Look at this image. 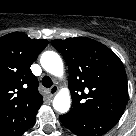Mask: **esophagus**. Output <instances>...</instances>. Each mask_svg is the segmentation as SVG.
<instances>
[{"instance_id":"obj_1","label":"esophagus","mask_w":136,"mask_h":136,"mask_svg":"<svg viewBox=\"0 0 136 136\" xmlns=\"http://www.w3.org/2000/svg\"><path fill=\"white\" fill-rule=\"evenodd\" d=\"M58 91V86L57 85H53L50 90H49V95L51 97H53Z\"/></svg>"}]
</instances>
